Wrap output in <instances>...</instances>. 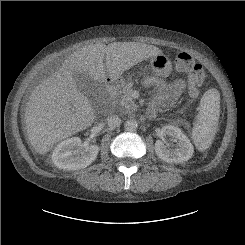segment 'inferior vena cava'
<instances>
[{
	"label": "inferior vena cava",
	"mask_w": 245,
	"mask_h": 245,
	"mask_svg": "<svg viewBox=\"0 0 245 245\" xmlns=\"http://www.w3.org/2000/svg\"><path fill=\"white\" fill-rule=\"evenodd\" d=\"M107 123L110 128H117L121 124V119L117 115H112L107 118Z\"/></svg>",
	"instance_id": "obj_1"
}]
</instances>
